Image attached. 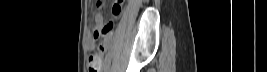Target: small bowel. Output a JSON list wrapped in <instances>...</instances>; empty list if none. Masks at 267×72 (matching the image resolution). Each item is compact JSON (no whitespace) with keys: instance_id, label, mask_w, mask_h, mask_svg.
I'll list each match as a JSON object with an SVG mask.
<instances>
[{"instance_id":"c3829d8e","label":"small bowel","mask_w":267,"mask_h":72,"mask_svg":"<svg viewBox=\"0 0 267 72\" xmlns=\"http://www.w3.org/2000/svg\"><path fill=\"white\" fill-rule=\"evenodd\" d=\"M117 2V1H116ZM119 3V11L116 12L114 11V6L115 3L112 7V15H113V19L111 21H115V19H117L122 11V7H123V1H118ZM110 22V21H109ZM107 22V23H109ZM107 23H104V17L101 14H97L94 17V32L88 42V48L89 49H93L94 48V42L95 40L104 37V44L106 45V47L110 48L111 43H112V36L111 34H106L104 31V27L106 26Z\"/></svg>"}]
</instances>
